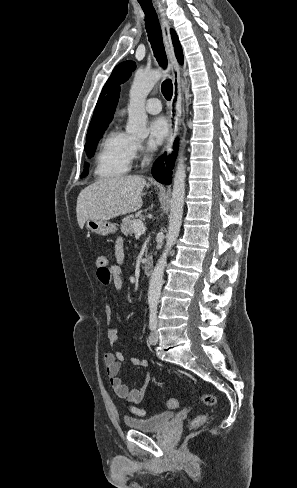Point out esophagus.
I'll use <instances>...</instances> for the list:
<instances>
[{
    "instance_id": "esophagus-1",
    "label": "esophagus",
    "mask_w": 297,
    "mask_h": 488,
    "mask_svg": "<svg viewBox=\"0 0 297 488\" xmlns=\"http://www.w3.org/2000/svg\"><path fill=\"white\" fill-rule=\"evenodd\" d=\"M158 11L162 19V30L163 37L166 47V52L169 58V65L172 71V81H173V97L170 107V133L167 138V143L165 150L170 154L173 150V143L178 134L179 122L181 116V102H182V91H181V75L178 62L175 57L174 47L170 34V24L166 17L165 10L163 6L158 3Z\"/></svg>"
}]
</instances>
